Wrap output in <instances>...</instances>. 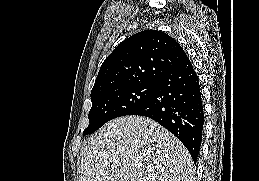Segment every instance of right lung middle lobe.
Masks as SVG:
<instances>
[{"label": "right lung middle lobe", "mask_w": 259, "mask_h": 181, "mask_svg": "<svg viewBox=\"0 0 259 181\" xmlns=\"http://www.w3.org/2000/svg\"><path fill=\"white\" fill-rule=\"evenodd\" d=\"M153 89L154 83L133 84L91 95L92 107L88 115L90 123L83 135L95 132L114 118L130 115L148 100Z\"/></svg>", "instance_id": "right-lung-middle-lobe-1"}]
</instances>
